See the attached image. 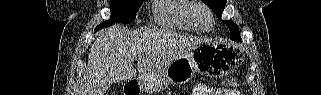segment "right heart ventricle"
Returning <instances> with one entry per match:
<instances>
[{"label":"right heart ventricle","instance_id":"e07e8e85","mask_svg":"<svg viewBox=\"0 0 321 95\" xmlns=\"http://www.w3.org/2000/svg\"><path fill=\"white\" fill-rule=\"evenodd\" d=\"M198 3L190 0H156L153 7L155 23L163 28L199 31L194 20Z\"/></svg>","mask_w":321,"mask_h":95}]
</instances>
